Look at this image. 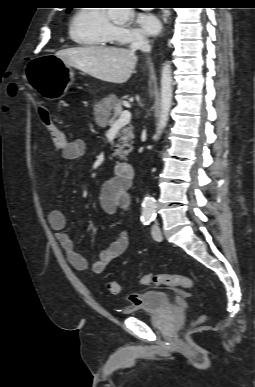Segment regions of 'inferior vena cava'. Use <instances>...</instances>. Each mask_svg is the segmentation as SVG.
<instances>
[{
    "instance_id": "602c4592",
    "label": "inferior vena cava",
    "mask_w": 255,
    "mask_h": 387,
    "mask_svg": "<svg viewBox=\"0 0 255 387\" xmlns=\"http://www.w3.org/2000/svg\"><path fill=\"white\" fill-rule=\"evenodd\" d=\"M131 50L135 51L137 49H140L141 51L145 53H149L151 51V46L149 44V41L144 36H137L130 46Z\"/></svg>"
}]
</instances>
